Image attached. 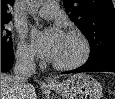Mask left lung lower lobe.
Returning <instances> with one entry per match:
<instances>
[{
  "label": "left lung lower lobe",
  "instance_id": "left-lung-lower-lobe-1",
  "mask_svg": "<svg viewBox=\"0 0 115 99\" xmlns=\"http://www.w3.org/2000/svg\"><path fill=\"white\" fill-rule=\"evenodd\" d=\"M102 71L115 72V55L107 56L95 61H87L81 67L64 72L63 74L78 73V72H102Z\"/></svg>",
  "mask_w": 115,
  "mask_h": 99
}]
</instances>
